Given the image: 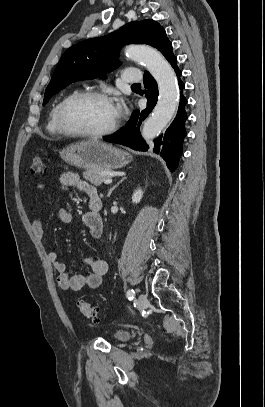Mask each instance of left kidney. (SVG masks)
I'll use <instances>...</instances> for the list:
<instances>
[{
  "instance_id": "obj_1",
  "label": "left kidney",
  "mask_w": 265,
  "mask_h": 407,
  "mask_svg": "<svg viewBox=\"0 0 265 407\" xmlns=\"http://www.w3.org/2000/svg\"><path fill=\"white\" fill-rule=\"evenodd\" d=\"M143 196V191L141 189H137L132 195V202L137 204L141 201Z\"/></svg>"
}]
</instances>
